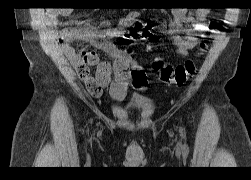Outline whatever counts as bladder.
I'll return each mask as SVG.
<instances>
[{
  "label": "bladder",
  "instance_id": "bladder-1",
  "mask_svg": "<svg viewBox=\"0 0 251 180\" xmlns=\"http://www.w3.org/2000/svg\"><path fill=\"white\" fill-rule=\"evenodd\" d=\"M153 101L148 98H138L127 105L128 109H144L151 107Z\"/></svg>",
  "mask_w": 251,
  "mask_h": 180
}]
</instances>
